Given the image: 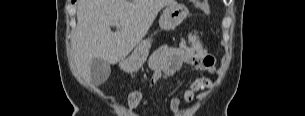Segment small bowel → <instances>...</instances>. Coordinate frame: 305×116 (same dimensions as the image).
<instances>
[{
	"instance_id": "small-bowel-1",
	"label": "small bowel",
	"mask_w": 305,
	"mask_h": 116,
	"mask_svg": "<svg viewBox=\"0 0 305 116\" xmlns=\"http://www.w3.org/2000/svg\"><path fill=\"white\" fill-rule=\"evenodd\" d=\"M148 64L152 70L150 87L172 77L184 64L193 66L197 71L215 72L214 57L200 43H182L179 46L165 44L152 54ZM211 87L212 81L209 78L198 77L183 91L182 99L186 103H191L195 100L197 92L207 91ZM169 108L172 113L178 114L181 110V100L178 97L170 98Z\"/></svg>"
}]
</instances>
